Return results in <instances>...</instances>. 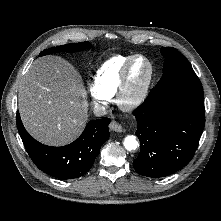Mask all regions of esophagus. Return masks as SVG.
I'll return each mask as SVG.
<instances>
[{"instance_id":"1","label":"esophagus","mask_w":221,"mask_h":221,"mask_svg":"<svg viewBox=\"0 0 221 221\" xmlns=\"http://www.w3.org/2000/svg\"><path fill=\"white\" fill-rule=\"evenodd\" d=\"M110 129L115 131V132H123V127L121 126V124H119L116 121H111L110 123Z\"/></svg>"}]
</instances>
